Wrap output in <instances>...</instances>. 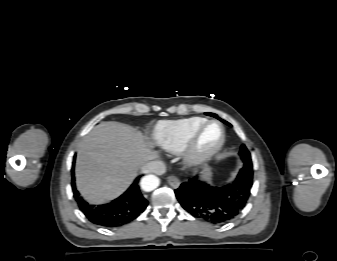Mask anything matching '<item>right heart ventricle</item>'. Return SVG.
<instances>
[{"mask_svg": "<svg viewBox=\"0 0 337 261\" xmlns=\"http://www.w3.org/2000/svg\"><path fill=\"white\" fill-rule=\"evenodd\" d=\"M205 121L202 117L161 121L155 127L154 139L163 150L179 153L184 150L191 134Z\"/></svg>", "mask_w": 337, "mask_h": 261, "instance_id": "right-heart-ventricle-1", "label": "right heart ventricle"}]
</instances>
